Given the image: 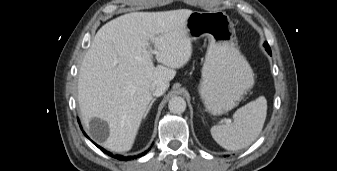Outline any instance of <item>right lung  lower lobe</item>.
I'll use <instances>...</instances> for the list:
<instances>
[{
  "label": "right lung lower lobe",
  "mask_w": 337,
  "mask_h": 171,
  "mask_svg": "<svg viewBox=\"0 0 337 171\" xmlns=\"http://www.w3.org/2000/svg\"><path fill=\"white\" fill-rule=\"evenodd\" d=\"M94 144H95V143H94ZM95 145H96V144H95ZM98 148H100L104 153L108 154L109 156H112V157L117 158L118 160H122V161H127V160H130V159H132V158L141 157V156H143V155H145V154L147 153V151H145L144 153L139 154V155L134 156V157H132V156L124 157V156H121V155H112L110 152L105 151V150H104L103 148H101L100 146H98Z\"/></svg>",
  "instance_id": "obj_1"
}]
</instances>
